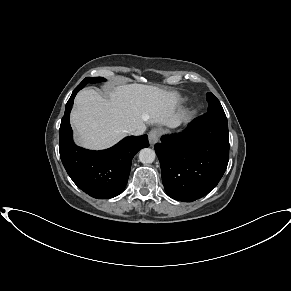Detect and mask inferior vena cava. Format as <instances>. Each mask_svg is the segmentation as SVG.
<instances>
[{
	"instance_id": "1",
	"label": "inferior vena cava",
	"mask_w": 291,
	"mask_h": 291,
	"mask_svg": "<svg viewBox=\"0 0 291 291\" xmlns=\"http://www.w3.org/2000/svg\"><path fill=\"white\" fill-rule=\"evenodd\" d=\"M145 129L144 128H139V129H135V130H132L130 132L131 135H142L144 133Z\"/></svg>"
}]
</instances>
